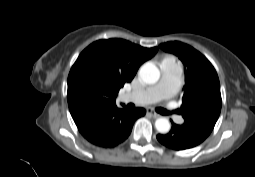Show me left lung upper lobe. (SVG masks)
<instances>
[{"instance_id":"obj_1","label":"left lung upper lobe","mask_w":255,"mask_h":177,"mask_svg":"<svg viewBox=\"0 0 255 177\" xmlns=\"http://www.w3.org/2000/svg\"><path fill=\"white\" fill-rule=\"evenodd\" d=\"M175 54L185 67L181 114L189 129L206 136L212 132L221 111L220 83L208 59L191 46L174 41L160 44Z\"/></svg>"}]
</instances>
